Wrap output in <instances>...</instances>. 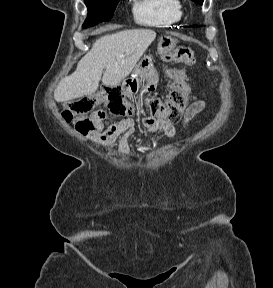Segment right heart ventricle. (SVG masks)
Here are the masks:
<instances>
[{
    "mask_svg": "<svg viewBox=\"0 0 273 288\" xmlns=\"http://www.w3.org/2000/svg\"><path fill=\"white\" fill-rule=\"evenodd\" d=\"M134 16L141 24L167 27L181 20L183 7L180 0H137Z\"/></svg>",
    "mask_w": 273,
    "mask_h": 288,
    "instance_id": "1",
    "label": "right heart ventricle"
}]
</instances>
